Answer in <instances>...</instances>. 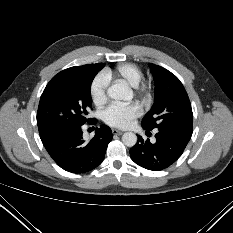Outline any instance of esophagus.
<instances>
[{"label": "esophagus", "instance_id": "esophagus-1", "mask_svg": "<svg viewBox=\"0 0 233 233\" xmlns=\"http://www.w3.org/2000/svg\"><path fill=\"white\" fill-rule=\"evenodd\" d=\"M112 133H113L114 135H121V134H123V131L114 128V129H112Z\"/></svg>", "mask_w": 233, "mask_h": 233}]
</instances>
